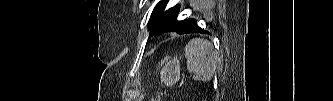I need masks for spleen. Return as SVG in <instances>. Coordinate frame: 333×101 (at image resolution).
<instances>
[{"label": "spleen", "mask_w": 333, "mask_h": 101, "mask_svg": "<svg viewBox=\"0 0 333 101\" xmlns=\"http://www.w3.org/2000/svg\"><path fill=\"white\" fill-rule=\"evenodd\" d=\"M185 57L188 71L194 73V80L209 81L212 79L219 57L208 40L200 38L190 40L185 47Z\"/></svg>", "instance_id": "obj_1"}]
</instances>
